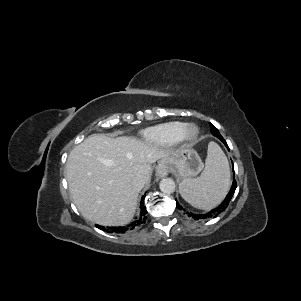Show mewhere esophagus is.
I'll return each instance as SVG.
<instances>
[{"label": "esophagus", "mask_w": 301, "mask_h": 301, "mask_svg": "<svg viewBox=\"0 0 301 301\" xmlns=\"http://www.w3.org/2000/svg\"><path fill=\"white\" fill-rule=\"evenodd\" d=\"M156 173L160 177L167 176L169 173V167L164 162H161L157 167Z\"/></svg>", "instance_id": "1"}]
</instances>
